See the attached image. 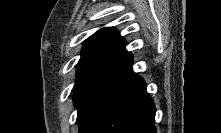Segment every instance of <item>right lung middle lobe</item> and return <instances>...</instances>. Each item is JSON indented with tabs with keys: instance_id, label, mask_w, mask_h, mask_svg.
Segmentation results:
<instances>
[{
	"instance_id": "1",
	"label": "right lung middle lobe",
	"mask_w": 221,
	"mask_h": 133,
	"mask_svg": "<svg viewBox=\"0 0 221 133\" xmlns=\"http://www.w3.org/2000/svg\"><path fill=\"white\" fill-rule=\"evenodd\" d=\"M98 76L99 74H77L73 100L78 110L89 92L92 83Z\"/></svg>"
}]
</instances>
